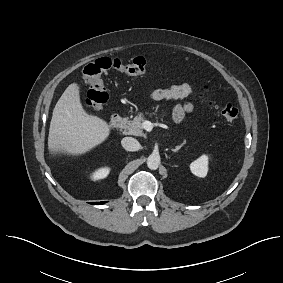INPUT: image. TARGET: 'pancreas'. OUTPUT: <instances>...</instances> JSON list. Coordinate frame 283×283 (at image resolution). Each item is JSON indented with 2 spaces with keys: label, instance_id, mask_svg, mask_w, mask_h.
I'll return each mask as SVG.
<instances>
[{
  "label": "pancreas",
  "instance_id": "1",
  "mask_svg": "<svg viewBox=\"0 0 283 283\" xmlns=\"http://www.w3.org/2000/svg\"><path fill=\"white\" fill-rule=\"evenodd\" d=\"M144 121V114L138 113L133 120H127L122 127L125 129V133L128 135L145 137L146 135L143 131Z\"/></svg>",
  "mask_w": 283,
  "mask_h": 283
}]
</instances>
